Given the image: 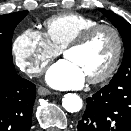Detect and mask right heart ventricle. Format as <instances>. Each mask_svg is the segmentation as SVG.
Wrapping results in <instances>:
<instances>
[{
    "mask_svg": "<svg viewBox=\"0 0 131 131\" xmlns=\"http://www.w3.org/2000/svg\"><path fill=\"white\" fill-rule=\"evenodd\" d=\"M98 23L96 19L85 15L65 13L54 16L44 23L45 36L56 49L62 51L82 31Z\"/></svg>",
    "mask_w": 131,
    "mask_h": 131,
    "instance_id": "1",
    "label": "right heart ventricle"
}]
</instances>
